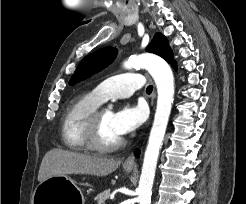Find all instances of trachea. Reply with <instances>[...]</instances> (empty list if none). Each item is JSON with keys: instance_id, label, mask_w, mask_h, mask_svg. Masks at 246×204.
<instances>
[{"instance_id": "trachea-1", "label": "trachea", "mask_w": 246, "mask_h": 204, "mask_svg": "<svg viewBox=\"0 0 246 204\" xmlns=\"http://www.w3.org/2000/svg\"><path fill=\"white\" fill-rule=\"evenodd\" d=\"M152 91H153V86H152V85H149V86L147 87V89H146V92H147L148 94H150Z\"/></svg>"}]
</instances>
